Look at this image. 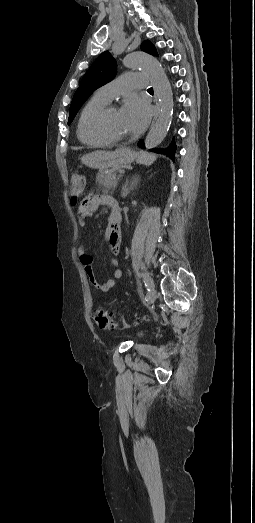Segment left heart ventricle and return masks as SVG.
Segmentation results:
<instances>
[{
	"label": "left heart ventricle",
	"mask_w": 255,
	"mask_h": 523,
	"mask_svg": "<svg viewBox=\"0 0 255 523\" xmlns=\"http://www.w3.org/2000/svg\"><path fill=\"white\" fill-rule=\"evenodd\" d=\"M99 126L111 135L122 138L134 136L131 119L125 108L111 110L99 120Z\"/></svg>",
	"instance_id": "b2bd125f"
}]
</instances>
